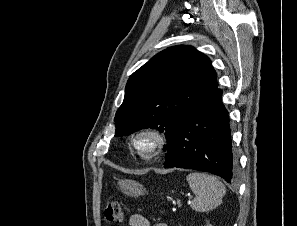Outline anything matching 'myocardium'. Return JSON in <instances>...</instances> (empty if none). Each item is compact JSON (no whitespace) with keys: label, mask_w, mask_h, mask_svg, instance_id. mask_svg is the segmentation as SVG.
<instances>
[{"label":"myocardium","mask_w":297,"mask_h":226,"mask_svg":"<svg viewBox=\"0 0 297 226\" xmlns=\"http://www.w3.org/2000/svg\"><path fill=\"white\" fill-rule=\"evenodd\" d=\"M143 139H149V144L143 145ZM166 143L165 134L155 127H144L137 130L130 141L135 154L144 161H151L157 158L163 151Z\"/></svg>","instance_id":"1"}]
</instances>
